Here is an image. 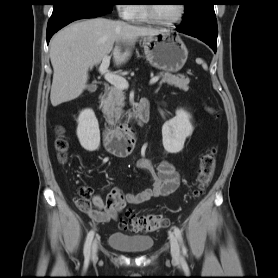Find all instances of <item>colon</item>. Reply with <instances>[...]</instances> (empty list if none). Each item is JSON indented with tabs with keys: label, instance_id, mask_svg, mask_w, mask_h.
<instances>
[{
	"label": "colon",
	"instance_id": "1",
	"mask_svg": "<svg viewBox=\"0 0 278 278\" xmlns=\"http://www.w3.org/2000/svg\"><path fill=\"white\" fill-rule=\"evenodd\" d=\"M56 150L58 152V156L61 162L66 160V155L68 151V141L67 139L60 133L55 142ZM216 166V150L214 148H208L200 159L198 177L196 189L193 191V195L195 197H199L205 190V188L209 185L214 170ZM80 198L78 201L88 200L90 197L91 191L88 187H81L78 190ZM126 217L129 219V222L123 220L120 223L122 228L130 227L133 231L136 232H152L156 231L160 228L166 226V220L156 214H148V215H131L127 213Z\"/></svg>",
	"mask_w": 278,
	"mask_h": 278
}]
</instances>
